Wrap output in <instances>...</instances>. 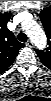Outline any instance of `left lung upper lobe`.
I'll use <instances>...</instances> for the list:
<instances>
[{
	"instance_id": "left-lung-upper-lobe-1",
	"label": "left lung upper lobe",
	"mask_w": 51,
	"mask_h": 101,
	"mask_svg": "<svg viewBox=\"0 0 51 101\" xmlns=\"http://www.w3.org/2000/svg\"><path fill=\"white\" fill-rule=\"evenodd\" d=\"M40 19L43 23L44 30L48 38V47L45 50L35 49L37 55L39 56L41 62L48 68L51 67V6L43 9L40 12Z\"/></svg>"
}]
</instances>
